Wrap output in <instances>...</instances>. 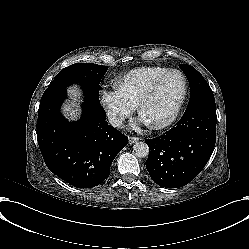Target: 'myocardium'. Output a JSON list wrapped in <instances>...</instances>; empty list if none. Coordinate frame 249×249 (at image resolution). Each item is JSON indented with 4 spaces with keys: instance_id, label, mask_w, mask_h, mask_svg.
Here are the masks:
<instances>
[{
    "instance_id": "f54148a6",
    "label": "myocardium",
    "mask_w": 249,
    "mask_h": 249,
    "mask_svg": "<svg viewBox=\"0 0 249 249\" xmlns=\"http://www.w3.org/2000/svg\"><path fill=\"white\" fill-rule=\"evenodd\" d=\"M178 77L180 82H181V94L180 97L178 99V102L172 112V114L170 115V117L168 119H166L165 121L162 122H151L149 120H147L144 115H143V110L145 108V106L154 99V97L156 96V94L159 92V90L164 87L172 77ZM185 95H186V82H185V78L183 76V74L178 71V70H174L171 71L167 74H165L163 77H161L156 83L155 85L151 88L150 92L143 98V100L140 102V104L138 105V110H137V115L139 117V119L149 128H155V129H161L164 127L169 126L177 117L182 104L184 102L185 99Z\"/></svg>"
}]
</instances>
